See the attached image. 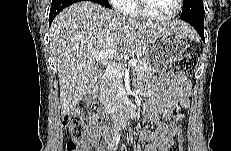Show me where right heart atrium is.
I'll use <instances>...</instances> for the list:
<instances>
[{
	"instance_id": "obj_1",
	"label": "right heart atrium",
	"mask_w": 231,
	"mask_h": 151,
	"mask_svg": "<svg viewBox=\"0 0 231 151\" xmlns=\"http://www.w3.org/2000/svg\"><path fill=\"white\" fill-rule=\"evenodd\" d=\"M110 2L115 7L116 10L125 12L127 9V1L126 0H112Z\"/></svg>"
}]
</instances>
